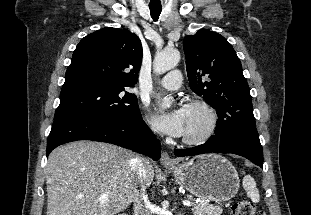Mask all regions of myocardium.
<instances>
[{
    "label": "myocardium",
    "mask_w": 311,
    "mask_h": 215,
    "mask_svg": "<svg viewBox=\"0 0 311 215\" xmlns=\"http://www.w3.org/2000/svg\"><path fill=\"white\" fill-rule=\"evenodd\" d=\"M184 108L202 110L207 116V125L204 131L198 136L182 137V142L187 145H200L205 143L214 134L218 125V115L214 108L203 100H191L184 105Z\"/></svg>",
    "instance_id": "f54148a6"
}]
</instances>
